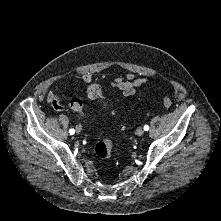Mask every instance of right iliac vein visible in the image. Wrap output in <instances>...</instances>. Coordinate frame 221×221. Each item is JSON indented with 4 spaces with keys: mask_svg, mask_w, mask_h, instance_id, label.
I'll return each instance as SVG.
<instances>
[{
    "mask_svg": "<svg viewBox=\"0 0 221 221\" xmlns=\"http://www.w3.org/2000/svg\"><path fill=\"white\" fill-rule=\"evenodd\" d=\"M76 132L79 134L81 132V127L79 125L76 126Z\"/></svg>",
    "mask_w": 221,
    "mask_h": 221,
    "instance_id": "right-iliac-vein-1",
    "label": "right iliac vein"
}]
</instances>
